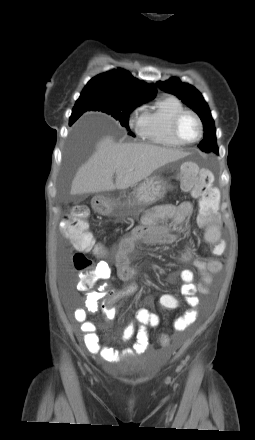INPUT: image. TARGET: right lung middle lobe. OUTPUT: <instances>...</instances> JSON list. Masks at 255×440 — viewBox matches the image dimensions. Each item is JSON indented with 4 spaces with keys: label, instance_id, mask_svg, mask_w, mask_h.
Wrapping results in <instances>:
<instances>
[{
    "label": "right lung middle lobe",
    "instance_id": "obj_1",
    "mask_svg": "<svg viewBox=\"0 0 255 440\" xmlns=\"http://www.w3.org/2000/svg\"><path fill=\"white\" fill-rule=\"evenodd\" d=\"M142 103L143 102H118L89 95H80L72 110V115L75 116L76 121L86 111H101L113 116L122 126L129 128V114ZM129 135L134 136L132 132H130Z\"/></svg>",
    "mask_w": 255,
    "mask_h": 440
}]
</instances>
